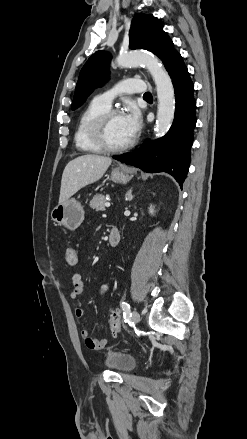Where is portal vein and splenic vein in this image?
<instances>
[{
    "mask_svg": "<svg viewBox=\"0 0 247 439\" xmlns=\"http://www.w3.org/2000/svg\"><path fill=\"white\" fill-rule=\"evenodd\" d=\"M110 205H111L110 202H106V203H105V206H106V207H110Z\"/></svg>",
    "mask_w": 247,
    "mask_h": 439,
    "instance_id": "portal-vein-and-splenic-vein-1",
    "label": "portal vein and splenic vein"
}]
</instances>
